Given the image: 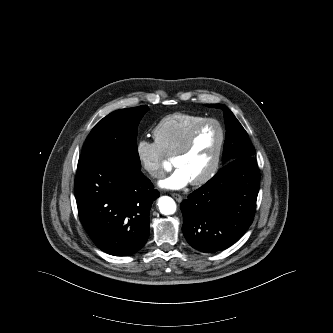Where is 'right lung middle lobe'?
<instances>
[{
  "label": "right lung middle lobe",
  "instance_id": "dd1d6c3e",
  "mask_svg": "<svg viewBox=\"0 0 333 333\" xmlns=\"http://www.w3.org/2000/svg\"><path fill=\"white\" fill-rule=\"evenodd\" d=\"M148 107L139 106L114 111L100 120L90 132L83 147V159L107 156L123 159L141 168L137 151V127Z\"/></svg>",
  "mask_w": 333,
  "mask_h": 333
}]
</instances>
